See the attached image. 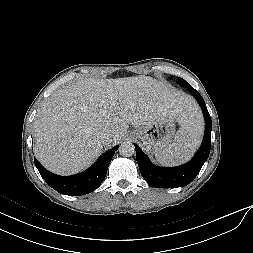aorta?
<instances>
[{"instance_id": "762f6f07", "label": "aorta", "mask_w": 253, "mask_h": 253, "mask_svg": "<svg viewBox=\"0 0 253 253\" xmlns=\"http://www.w3.org/2000/svg\"><path fill=\"white\" fill-rule=\"evenodd\" d=\"M119 153L123 157H130L135 153V147L131 142H123L119 146Z\"/></svg>"}]
</instances>
